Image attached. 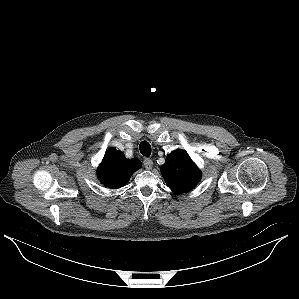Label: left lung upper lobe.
<instances>
[{
	"label": "left lung upper lobe",
	"instance_id": "left-lung-upper-lobe-1",
	"mask_svg": "<svg viewBox=\"0 0 299 299\" xmlns=\"http://www.w3.org/2000/svg\"><path fill=\"white\" fill-rule=\"evenodd\" d=\"M161 173L166 184L176 193H184L193 189L201 178V171L193 163L188 153L178 149L171 152L165 164L161 167Z\"/></svg>",
	"mask_w": 299,
	"mask_h": 299
}]
</instances>
